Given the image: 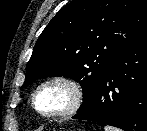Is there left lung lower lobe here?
Instances as JSON below:
<instances>
[{"instance_id": "obj_1", "label": "left lung lower lobe", "mask_w": 147, "mask_h": 131, "mask_svg": "<svg viewBox=\"0 0 147 131\" xmlns=\"http://www.w3.org/2000/svg\"><path fill=\"white\" fill-rule=\"evenodd\" d=\"M72 118L147 131V37L114 60L94 97Z\"/></svg>"}]
</instances>
